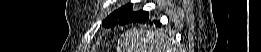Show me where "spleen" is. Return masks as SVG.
I'll list each match as a JSON object with an SVG mask.
<instances>
[{"mask_svg":"<svg viewBox=\"0 0 261 52\" xmlns=\"http://www.w3.org/2000/svg\"><path fill=\"white\" fill-rule=\"evenodd\" d=\"M126 35H132L134 49L141 52H168L169 44L164 41V35L159 31L129 30Z\"/></svg>","mask_w":261,"mask_h":52,"instance_id":"spleen-1","label":"spleen"}]
</instances>
